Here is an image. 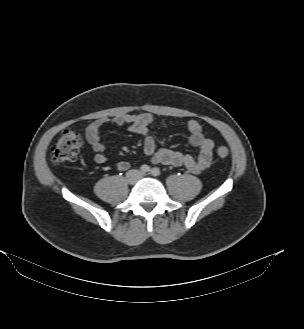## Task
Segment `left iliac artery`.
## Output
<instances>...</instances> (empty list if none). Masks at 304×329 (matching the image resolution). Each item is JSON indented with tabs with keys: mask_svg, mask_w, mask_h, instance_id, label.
Segmentation results:
<instances>
[{
	"mask_svg": "<svg viewBox=\"0 0 304 329\" xmlns=\"http://www.w3.org/2000/svg\"><path fill=\"white\" fill-rule=\"evenodd\" d=\"M151 174H152L153 176H158V175H160V170H159V168L154 167V168L151 170Z\"/></svg>",
	"mask_w": 304,
	"mask_h": 329,
	"instance_id": "44dca946",
	"label": "left iliac artery"
}]
</instances>
